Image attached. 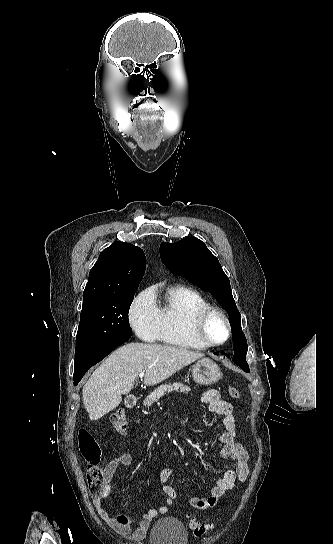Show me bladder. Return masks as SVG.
Wrapping results in <instances>:
<instances>
[{"label":"bladder","instance_id":"bladder-1","mask_svg":"<svg viewBox=\"0 0 333 544\" xmlns=\"http://www.w3.org/2000/svg\"><path fill=\"white\" fill-rule=\"evenodd\" d=\"M149 539L150 544H187L188 533L180 520L164 517L154 523Z\"/></svg>","mask_w":333,"mask_h":544}]
</instances>
